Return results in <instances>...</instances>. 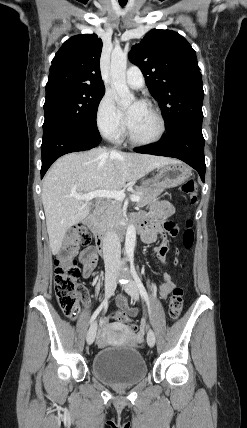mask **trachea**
<instances>
[{
	"label": "trachea",
	"mask_w": 247,
	"mask_h": 428,
	"mask_svg": "<svg viewBox=\"0 0 247 428\" xmlns=\"http://www.w3.org/2000/svg\"><path fill=\"white\" fill-rule=\"evenodd\" d=\"M119 4H120V6L123 8V7H125L126 6V4H127V2H119Z\"/></svg>",
	"instance_id": "obj_1"
}]
</instances>
